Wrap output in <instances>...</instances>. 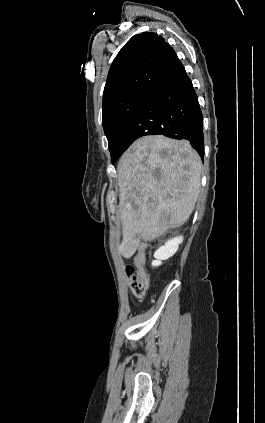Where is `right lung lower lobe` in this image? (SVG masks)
I'll return each instance as SVG.
<instances>
[{
	"instance_id": "98d812e1",
	"label": "right lung lower lobe",
	"mask_w": 265,
	"mask_h": 423,
	"mask_svg": "<svg viewBox=\"0 0 265 423\" xmlns=\"http://www.w3.org/2000/svg\"><path fill=\"white\" fill-rule=\"evenodd\" d=\"M146 135L186 139L204 158L203 116L192 82L178 57L123 129L118 149L123 153Z\"/></svg>"
}]
</instances>
